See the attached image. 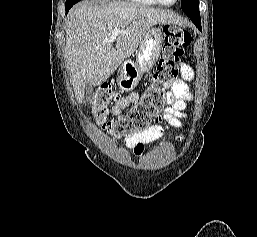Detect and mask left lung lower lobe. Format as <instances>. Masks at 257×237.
Segmentation results:
<instances>
[{"mask_svg": "<svg viewBox=\"0 0 257 237\" xmlns=\"http://www.w3.org/2000/svg\"><path fill=\"white\" fill-rule=\"evenodd\" d=\"M192 22L196 25V27L201 30V19L200 18H192Z\"/></svg>", "mask_w": 257, "mask_h": 237, "instance_id": "0a47b994", "label": "left lung lower lobe"}]
</instances>
